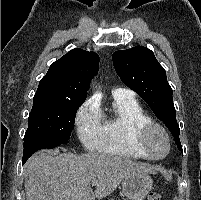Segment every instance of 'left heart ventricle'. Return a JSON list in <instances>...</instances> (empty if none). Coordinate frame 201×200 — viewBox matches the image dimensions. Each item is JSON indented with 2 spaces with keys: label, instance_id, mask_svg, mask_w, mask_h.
<instances>
[{
  "label": "left heart ventricle",
  "instance_id": "obj_1",
  "mask_svg": "<svg viewBox=\"0 0 201 200\" xmlns=\"http://www.w3.org/2000/svg\"><path fill=\"white\" fill-rule=\"evenodd\" d=\"M147 145L150 154L154 157H160L167 151V141L163 133L157 129H153L148 133Z\"/></svg>",
  "mask_w": 201,
  "mask_h": 200
}]
</instances>
